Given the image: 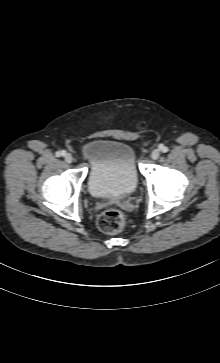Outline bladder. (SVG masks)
Wrapping results in <instances>:
<instances>
[{"label": "bladder", "instance_id": "bladder-1", "mask_svg": "<svg viewBox=\"0 0 220 363\" xmlns=\"http://www.w3.org/2000/svg\"><path fill=\"white\" fill-rule=\"evenodd\" d=\"M81 156L88 162L87 188L95 197H122L139 184L136 152L126 141L98 138L80 146Z\"/></svg>", "mask_w": 220, "mask_h": 363}]
</instances>
